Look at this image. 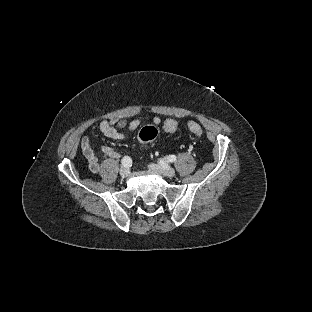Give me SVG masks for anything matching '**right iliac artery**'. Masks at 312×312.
Returning <instances> with one entry per match:
<instances>
[{
  "mask_svg": "<svg viewBox=\"0 0 312 312\" xmlns=\"http://www.w3.org/2000/svg\"><path fill=\"white\" fill-rule=\"evenodd\" d=\"M122 165L124 167H131L132 166V160L129 156H125L123 159H122Z\"/></svg>",
  "mask_w": 312,
  "mask_h": 312,
  "instance_id": "right-iliac-artery-1",
  "label": "right iliac artery"
}]
</instances>
